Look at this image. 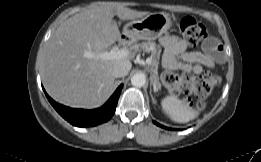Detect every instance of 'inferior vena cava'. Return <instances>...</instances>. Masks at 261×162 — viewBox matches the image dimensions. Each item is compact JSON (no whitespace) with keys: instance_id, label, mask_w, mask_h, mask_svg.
<instances>
[{"instance_id":"obj_1","label":"inferior vena cava","mask_w":261,"mask_h":162,"mask_svg":"<svg viewBox=\"0 0 261 162\" xmlns=\"http://www.w3.org/2000/svg\"><path fill=\"white\" fill-rule=\"evenodd\" d=\"M130 69V62L119 63L113 68V75L115 77H125L126 75H128Z\"/></svg>"}]
</instances>
